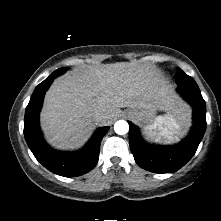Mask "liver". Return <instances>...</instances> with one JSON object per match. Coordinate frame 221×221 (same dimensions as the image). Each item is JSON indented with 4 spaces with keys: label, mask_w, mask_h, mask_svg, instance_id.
Masks as SVG:
<instances>
[{
    "label": "liver",
    "mask_w": 221,
    "mask_h": 221,
    "mask_svg": "<svg viewBox=\"0 0 221 221\" xmlns=\"http://www.w3.org/2000/svg\"><path fill=\"white\" fill-rule=\"evenodd\" d=\"M123 107L160 110L173 116L188 112L149 67L117 62L75 69L57 78L45 95L41 128L55 148L77 149L96 125L110 124ZM97 112L106 118L96 122L93 116Z\"/></svg>",
    "instance_id": "6515ba94"
}]
</instances>
